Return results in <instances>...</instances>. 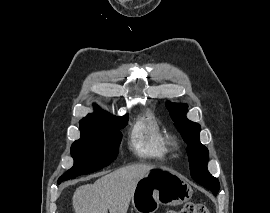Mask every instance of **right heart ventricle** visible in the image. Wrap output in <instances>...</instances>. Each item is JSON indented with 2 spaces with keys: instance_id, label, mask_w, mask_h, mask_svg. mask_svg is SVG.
<instances>
[{
  "instance_id": "1",
  "label": "right heart ventricle",
  "mask_w": 270,
  "mask_h": 213,
  "mask_svg": "<svg viewBox=\"0 0 270 213\" xmlns=\"http://www.w3.org/2000/svg\"><path fill=\"white\" fill-rule=\"evenodd\" d=\"M170 136L151 114L140 116L131 130L130 149L139 157L163 159L171 152Z\"/></svg>"
}]
</instances>
